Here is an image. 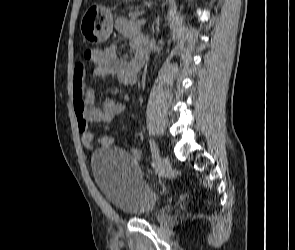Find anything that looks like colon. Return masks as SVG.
<instances>
[{
    "instance_id": "1",
    "label": "colon",
    "mask_w": 295,
    "mask_h": 250,
    "mask_svg": "<svg viewBox=\"0 0 295 250\" xmlns=\"http://www.w3.org/2000/svg\"><path fill=\"white\" fill-rule=\"evenodd\" d=\"M93 49H86L84 51V58L85 59H90L92 57Z\"/></svg>"
}]
</instances>
